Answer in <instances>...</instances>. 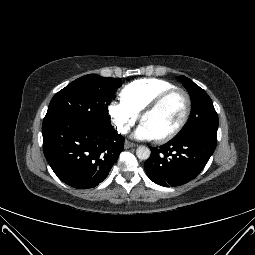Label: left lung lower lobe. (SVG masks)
Segmentation results:
<instances>
[{
	"label": "left lung lower lobe",
	"instance_id": "0a47b994",
	"mask_svg": "<svg viewBox=\"0 0 255 255\" xmlns=\"http://www.w3.org/2000/svg\"><path fill=\"white\" fill-rule=\"evenodd\" d=\"M217 138L195 136L173 139L160 148L151 147V155L144 167L156 184L179 186L194 179L213 154Z\"/></svg>",
	"mask_w": 255,
	"mask_h": 255
}]
</instances>
